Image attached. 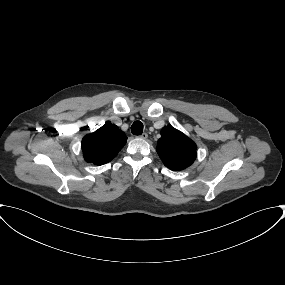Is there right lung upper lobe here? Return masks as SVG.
Segmentation results:
<instances>
[{
    "label": "right lung upper lobe",
    "instance_id": "obj_1",
    "mask_svg": "<svg viewBox=\"0 0 285 285\" xmlns=\"http://www.w3.org/2000/svg\"><path fill=\"white\" fill-rule=\"evenodd\" d=\"M127 137L116 125L106 122L82 139L86 162L102 165L110 162L126 144Z\"/></svg>",
    "mask_w": 285,
    "mask_h": 285
}]
</instances>
